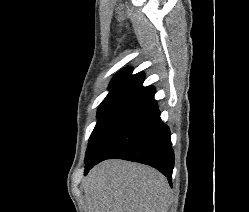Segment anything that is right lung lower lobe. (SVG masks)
Listing matches in <instances>:
<instances>
[{"instance_id": "98d812e1", "label": "right lung lower lobe", "mask_w": 249, "mask_h": 212, "mask_svg": "<svg viewBox=\"0 0 249 212\" xmlns=\"http://www.w3.org/2000/svg\"><path fill=\"white\" fill-rule=\"evenodd\" d=\"M154 93L133 100L113 121L85 161V175L99 162L117 158L150 165L171 183L170 130L160 119Z\"/></svg>"}]
</instances>
